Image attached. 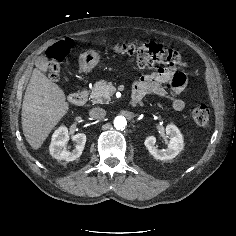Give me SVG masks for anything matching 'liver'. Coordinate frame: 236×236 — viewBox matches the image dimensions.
Listing matches in <instances>:
<instances>
[{
	"instance_id": "6515ba94",
	"label": "liver",
	"mask_w": 236,
	"mask_h": 236,
	"mask_svg": "<svg viewBox=\"0 0 236 236\" xmlns=\"http://www.w3.org/2000/svg\"><path fill=\"white\" fill-rule=\"evenodd\" d=\"M32 72L22 104V130L30 146L37 150L68 112L64 91L49 80L37 65Z\"/></svg>"
}]
</instances>
